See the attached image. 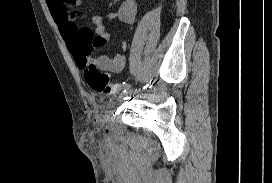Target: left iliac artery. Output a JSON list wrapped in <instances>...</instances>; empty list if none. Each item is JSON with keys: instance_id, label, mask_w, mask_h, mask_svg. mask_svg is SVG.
<instances>
[{"instance_id": "left-iliac-artery-1", "label": "left iliac artery", "mask_w": 272, "mask_h": 183, "mask_svg": "<svg viewBox=\"0 0 272 183\" xmlns=\"http://www.w3.org/2000/svg\"><path fill=\"white\" fill-rule=\"evenodd\" d=\"M129 88H131V84L124 83L120 86V90L125 93Z\"/></svg>"}]
</instances>
